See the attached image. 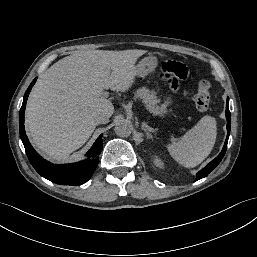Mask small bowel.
<instances>
[{
	"label": "small bowel",
	"mask_w": 257,
	"mask_h": 257,
	"mask_svg": "<svg viewBox=\"0 0 257 257\" xmlns=\"http://www.w3.org/2000/svg\"><path fill=\"white\" fill-rule=\"evenodd\" d=\"M157 87L164 92H173L186 86L191 79L189 66L182 61L162 59L153 68Z\"/></svg>",
	"instance_id": "c3829d8e"
}]
</instances>
